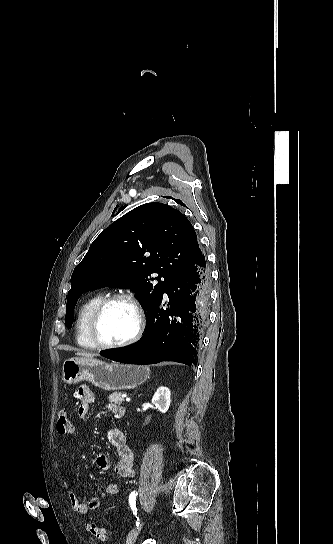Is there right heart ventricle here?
Returning <instances> with one entry per match:
<instances>
[{"label": "right heart ventricle", "mask_w": 333, "mask_h": 544, "mask_svg": "<svg viewBox=\"0 0 333 544\" xmlns=\"http://www.w3.org/2000/svg\"><path fill=\"white\" fill-rule=\"evenodd\" d=\"M103 298L104 295L101 293L94 294L88 297L79 308L75 322V338L80 347L86 349L96 348L88 336L87 326L92 311Z\"/></svg>", "instance_id": "1"}]
</instances>
